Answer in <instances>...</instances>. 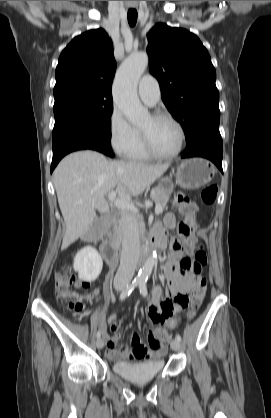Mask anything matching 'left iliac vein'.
<instances>
[{
	"mask_svg": "<svg viewBox=\"0 0 271 418\" xmlns=\"http://www.w3.org/2000/svg\"><path fill=\"white\" fill-rule=\"evenodd\" d=\"M170 346L174 351L180 350V342L177 339L172 340Z\"/></svg>",
	"mask_w": 271,
	"mask_h": 418,
	"instance_id": "4c4485c4",
	"label": "left iliac vein"
}]
</instances>
